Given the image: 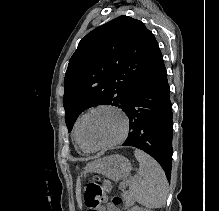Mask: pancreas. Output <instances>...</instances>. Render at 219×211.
<instances>
[{
    "label": "pancreas",
    "mask_w": 219,
    "mask_h": 211,
    "mask_svg": "<svg viewBox=\"0 0 219 211\" xmlns=\"http://www.w3.org/2000/svg\"><path fill=\"white\" fill-rule=\"evenodd\" d=\"M123 197H125L126 203H133V199H132L131 195H129V193H127V191H124Z\"/></svg>",
    "instance_id": "obj_1"
}]
</instances>
